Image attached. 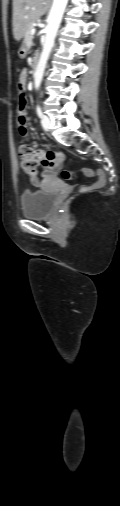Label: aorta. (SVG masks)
Here are the masks:
<instances>
[{
	"instance_id": "aorta-1",
	"label": "aorta",
	"mask_w": 120,
	"mask_h": 506,
	"mask_svg": "<svg viewBox=\"0 0 120 506\" xmlns=\"http://www.w3.org/2000/svg\"><path fill=\"white\" fill-rule=\"evenodd\" d=\"M67 2L68 0L53 1V5L47 19V26L45 28L43 49L34 74V84L37 89L40 87L46 64L53 48L55 37L57 35Z\"/></svg>"
}]
</instances>
